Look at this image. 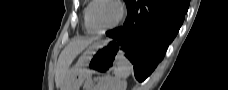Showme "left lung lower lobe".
<instances>
[{
  "label": "left lung lower lobe",
  "mask_w": 228,
  "mask_h": 90,
  "mask_svg": "<svg viewBox=\"0 0 228 90\" xmlns=\"http://www.w3.org/2000/svg\"><path fill=\"white\" fill-rule=\"evenodd\" d=\"M122 27L106 33L118 41L144 81L162 60L185 18L188 0H128Z\"/></svg>",
  "instance_id": "obj_1"
}]
</instances>
